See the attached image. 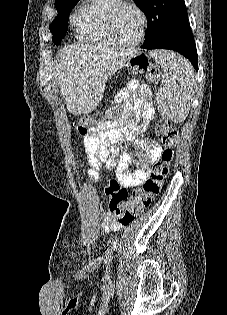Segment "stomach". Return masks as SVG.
<instances>
[{"mask_svg":"<svg viewBox=\"0 0 227 315\" xmlns=\"http://www.w3.org/2000/svg\"><path fill=\"white\" fill-rule=\"evenodd\" d=\"M103 85L109 87L111 85V82L109 80H106L105 82H103Z\"/></svg>","mask_w":227,"mask_h":315,"instance_id":"obj_1","label":"stomach"}]
</instances>
